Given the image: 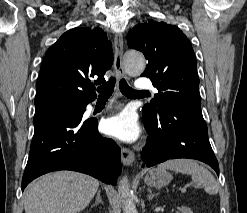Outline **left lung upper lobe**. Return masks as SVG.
I'll return each mask as SVG.
<instances>
[{
  "instance_id": "left-lung-upper-lobe-1",
  "label": "left lung upper lobe",
  "mask_w": 247,
  "mask_h": 213,
  "mask_svg": "<svg viewBox=\"0 0 247 213\" xmlns=\"http://www.w3.org/2000/svg\"><path fill=\"white\" fill-rule=\"evenodd\" d=\"M127 42L145 55L148 64L141 76L149 77L159 91L142 109L144 122H154L168 99L201 108L195 54L178 27L149 20L130 30Z\"/></svg>"
}]
</instances>
